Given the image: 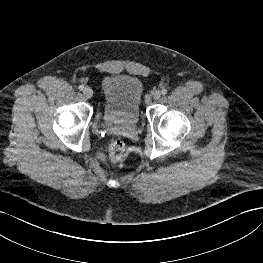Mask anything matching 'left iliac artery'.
Wrapping results in <instances>:
<instances>
[{
    "mask_svg": "<svg viewBox=\"0 0 263 263\" xmlns=\"http://www.w3.org/2000/svg\"><path fill=\"white\" fill-rule=\"evenodd\" d=\"M161 93H162V95H165V94H167V90L166 89H162Z\"/></svg>",
    "mask_w": 263,
    "mask_h": 263,
    "instance_id": "1",
    "label": "left iliac artery"
}]
</instances>
